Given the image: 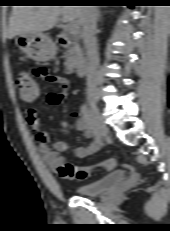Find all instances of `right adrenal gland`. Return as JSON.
<instances>
[{"label":"right adrenal gland","mask_w":170,"mask_h":231,"mask_svg":"<svg viewBox=\"0 0 170 231\" xmlns=\"http://www.w3.org/2000/svg\"><path fill=\"white\" fill-rule=\"evenodd\" d=\"M102 17V13L100 10L97 11V21H99Z\"/></svg>","instance_id":"2a0ac1e0"}]
</instances>
